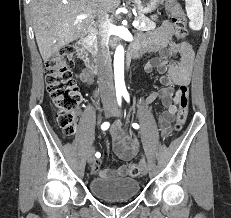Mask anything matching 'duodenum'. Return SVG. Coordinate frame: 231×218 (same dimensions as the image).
<instances>
[{
    "mask_svg": "<svg viewBox=\"0 0 231 218\" xmlns=\"http://www.w3.org/2000/svg\"><path fill=\"white\" fill-rule=\"evenodd\" d=\"M94 33L95 28L90 26L87 32L76 43V49L85 61L88 70L91 73L97 74L99 72V61L91 49V42ZM138 56L139 53L136 49H131L129 51L128 58L130 60L136 59Z\"/></svg>",
    "mask_w": 231,
    "mask_h": 218,
    "instance_id": "410a0bca",
    "label": "duodenum"
}]
</instances>
